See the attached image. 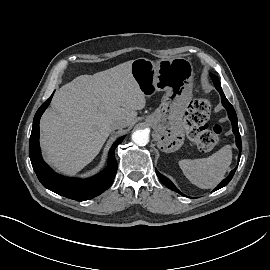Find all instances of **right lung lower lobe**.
I'll use <instances>...</instances> for the list:
<instances>
[{
  "label": "right lung lower lobe",
  "mask_w": 270,
  "mask_h": 270,
  "mask_svg": "<svg viewBox=\"0 0 270 270\" xmlns=\"http://www.w3.org/2000/svg\"><path fill=\"white\" fill-rule=\"evenodd\" d=\"M52 96L53 94L40 106L34 116L29 141V155L33 169L41 184L57 194L77 201H85L94 198L107 190L113 183L117 171L115 148L123 141L124 137L119 138L111 147L107 167L92 178L82 180L63 177L55 173L43 161L39 146V120L45 109L48 107Z\"/></svg>",
  "instance_id": "98d812e1"
}]
</instances>
